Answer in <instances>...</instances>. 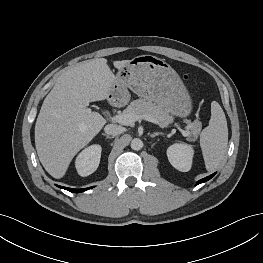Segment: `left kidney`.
Wrapping results in <instances>:
<instances>
[{
    "label": "left kidney",
    "mask_w": 263,
    "mask_h": 263,
    "mask_svg": "<svg viewBox=\"0 0 263 263\" xmlns=\"http://www.w3.org/2000/svg\"><path fill=\"white\" fill-rule=\"evenodd\" d=\"M193 155V147L185 143H176L167 149V157L170 164L182 172H187L191 169Z\"/></svg>",
    "instance_id": "1"
}]
</instances>
